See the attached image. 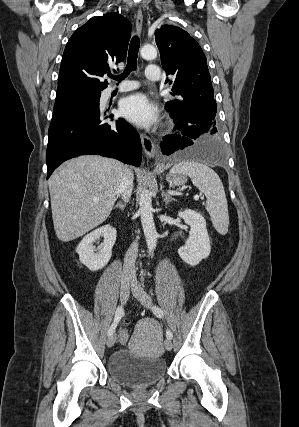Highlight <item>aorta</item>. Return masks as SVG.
I'll list each match as a JSON object with an SVG mask.
<instances>
[{
    "label": "aorta",
    "instance_id": "762f6f07",
    "mask_svg": "<svg viewBox=\"0 0 299 427\" xmlns=\"http://www.w3.org/2000/svg\"><path fill=\"white\" fill-rule=\"evenodd\" d=\"M140 53L142 58L146 60H153L157 56V50L152 45L143 46ZM152 211V198L150 192L144 189L139 199V214L149 252L154 251L156 248L158 238Z\"/></svg>",
    "mask_w": 299,
    "mask_h": 427
}]
</instances>
